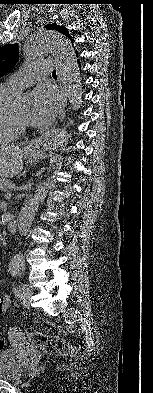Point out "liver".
I'll list each match as a JSON object with an SVG mask.
<instances>
[{
    "label": "liver",
    "instance_id": "1",
    "mask_svg": "<svg viewBox=\"0 0 153 393\" xmlns=\"http://www.w3.org/2000/svg\"><path fill=\"white\" fill-rule=\"evenodd\" d=\"M24 149L6 145L0 147V177H14L23 169Z\"/></svg>",
    "mask_w": 153,
    "mask_h": 393
}]
</instances>
